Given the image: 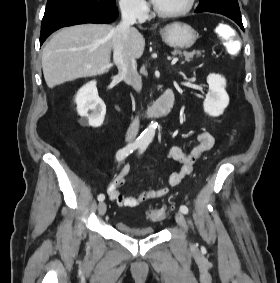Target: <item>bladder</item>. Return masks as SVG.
Segmentation results:
<instances>
[{"label": "bladder", "instance_id": "31cf9c89", "mask_svg": "<svg viewBox=\"0 0 280 283\" xmlns=\"http://www.w3.org/2000/svg\"><path fill=\"white\" fill-rule=\"evenodd\" d=\"M116 228L122 235L132 238L147 237L155 233L154 226L151 225L137 226L122 221H118L116 223Z\"/></svg>", "mask_w": 280, "mask_h": 283}]
</instances>
